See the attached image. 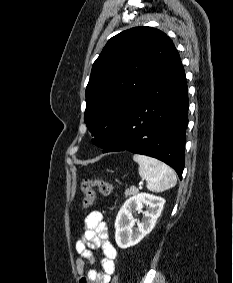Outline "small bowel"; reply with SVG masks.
Instances as JSON below:
<instances>
[{
    "label": "small bowel",
    "instance_id": "c3829d8e",
    "mask_svg": "<svg viewBox=\"0 0 233 283\" xmlns=\"http://www.w3.org/2000/svg\"><path fill=\"white\" fill-rule=\"evenodd\" d=\"M100 248L103 252L101 269H90L85 272L86 263L93 264L95 257L92 249ZM75 249L79 254L76 269L80 276L79 283H110L115 272L117 250L109 240L108 226L100 211H92L85 218L84 232L76 242Z\"/></svg>",
    "mask_w": 233,
    "mask_h": 283
}]
</instances>
